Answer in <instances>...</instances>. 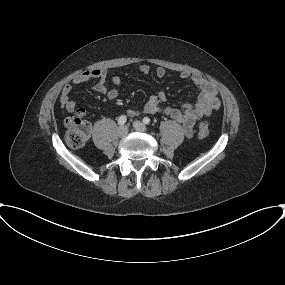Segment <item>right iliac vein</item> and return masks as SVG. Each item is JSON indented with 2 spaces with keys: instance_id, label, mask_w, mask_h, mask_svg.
Returning a JSON list of instances; mask_svg holds the SVG:
<instances>
[{
  "instance_id": "obj_1",
  "label": "right iliac vein",
  "mask_w": 285,
  "mask_h": 285,
  "mask_svg": "<svg viewBox=\"0 0 285 285\" xmlns=\"http://www.w3.org/2000/svg\"><path fill=\"white\" fill-rule=\"evenodd\" d=\"M127 133H128V128H127L126 126H120V127L118 128V135H119L120 137L126 136Z\"/></svg>"
}]
</instances>
